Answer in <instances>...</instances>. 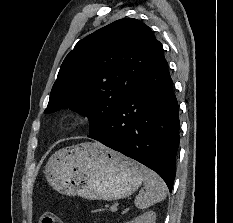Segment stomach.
Returning a JSON list of instances; mask_svg holds the SVG:
<instances>
[{
	"mask_svg": "<svg viewBox=\"0 0 233 223\" xmlns=\"http://www.w3.org/2000/svg\"><path fill=\"white\" fill-rule=\"evenodd\" d=\"M45 173L59 193L107 201L129 197L144 179L143 165L91 141L56 151Z\"/></svg>",
	"mask_w": 233,
	"mask_h": 223,
	"instance_id": "1",
	"label": "stomach"
}]
</instances>
